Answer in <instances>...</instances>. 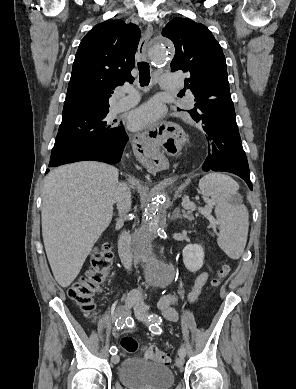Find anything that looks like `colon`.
<instances>
[{
  "instance_id": "obj_1",
  "label": "colon",
  "mask_w": 296,
  "mask_h": 389,
  "mask_svg": "<svg viewBox=\"0 0 296 389\" xmlns=\"http://www.w3.org/2000/svg\"><path fill=\"white\" fill-rule=\"evenodd\" d=\"M113 255L111 247L107 243L98 246L92 256L91 266L86 273L68 289V295L73 302L89 316L94 315L96 304L95 297L102 291L111 275ZM230 267L224 265L212 280L213 287H218L228 276ZM121 347L127 353H135L138 350V342L132 336H124L121 339ZM145 356L157 363L169 364L170 355L155 346H150L145 351Z\"/></svg>"
}]
</instances>
